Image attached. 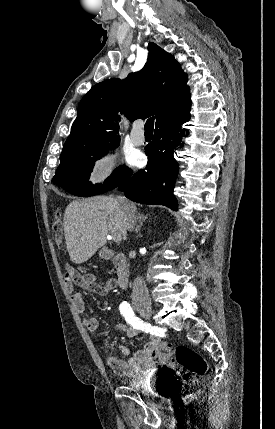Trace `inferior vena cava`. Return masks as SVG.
<instances>
[{
    "mask_svg": "<svg viewBox=\"0 0 275 429\" xmlns=\"http://www.w3.org/2000/svg\"><path fill=\"white\" fill-rule=\"evenodd\" d=\"M118 199L125 212L127 229L129 231H132L135 227V223L137 219V217L135 216V212L130 209L129 204L124 197L119 196ZM132 300L134 303H146L148 305L150 304V297L148 294V290L142 277H136L134 280L133 290H132Z\"/></svg>",
    "mask_w": 275,
    "mask_h": 429,
    "instance_id": "1",
    "label": "inferior vena cava"
}]
</instances>
